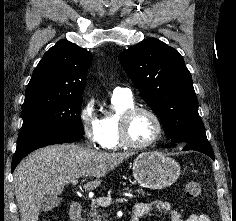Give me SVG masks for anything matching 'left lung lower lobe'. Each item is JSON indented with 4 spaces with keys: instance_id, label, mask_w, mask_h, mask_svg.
<instances>
[{
    "instance_id": "left-lung-lower-lobe-1",
    "label": "left lung lower lobe",
    "mask_w": 236,
    "mask_h": 221,
    "mask_svg": "<svg viewBox=\"0 0 236 221\" xmlns=\"http://www.w3.org/2000/svg\"><path fill=\"white\" fill-rule=\"evenodd\" d=\"M183 145V150H196L210 156L213 160L215 159L213 149L208 140H194Z\"/></svg>"
}]
</instances>
